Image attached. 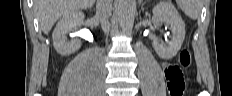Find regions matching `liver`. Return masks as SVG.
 <instances>
[{"label":"liver","mask_w":232,"mask_h":96,"mask_svg":"<svg viewBox=\"0 0 232 96\" xmlns=\"http://www.w3.org/2000/svg\"><path fill=\"white\" fill-rule=\"evenodd\" d=\"M95 0H35L34 7L40 27L48 34L55 22L63 15L78 9H87Z\"/></svg>","instance_id":"obj_1"}]
</instances>
